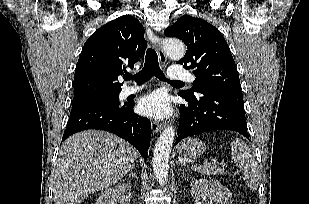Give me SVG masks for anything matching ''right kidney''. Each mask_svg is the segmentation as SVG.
I'll return each mask as SVG.
<instances>
[{
  "label": "right kidney",
  "mask_w": 309,
  "mask_h": 204,
  "mask_svg": "<svg viewBox=\"0 0 309 204\" xmlns=\"http://www.w3.org/2000/svg\"><path fill=\"white\" fill-rule=\"evenodd\" d=\"M131 185L128 183L118 184L106 189L96 200L95 204H115L117 200L121 204H130Z\"/></svg>",
  "instance_id": "right-kidney-1"
}]
</instances>
